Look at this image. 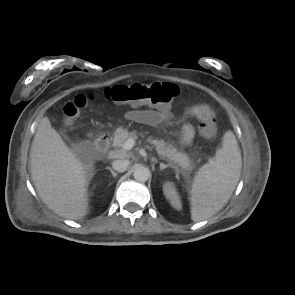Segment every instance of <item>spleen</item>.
Instances as JSON below:
<instances>
[{"mask_svg":"<svg viewBox=\"0 0 295 295\" xmlns=\"http://www.w3.org/2000/svg\"><path fill=\"white\" fill-rule=\"evenodd\" d=\"M242 168L239 146L234 134L224 135L214 159L195 175L190 191L191 219L200 222L217 213L236 188Z\"/></svg>","mask_w":295,"mask_h":295,"instance_id":"3e777b00","label":"spleen"}]
</instances>
